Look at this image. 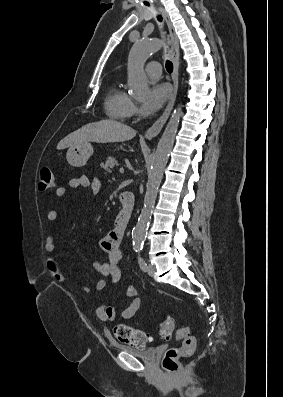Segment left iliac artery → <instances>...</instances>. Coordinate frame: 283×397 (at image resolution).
<instances>
[{"label": "left iliac artery", "mask_w": 283, "mask_h": 397, "mask_svg": "<svg viewBox=\"0 0 283 397\" xmlns=\"http://www.w3.org/2000/svg\"><path fill=\"white\" fill-rule=\"evenodd\" d=\"M138 263L142 271L146 272L147 271V264L143 257L141 256L140 252H138Z\"/></svg>", "instance_id": "left-iliac-artery-1"}]
</instances>
